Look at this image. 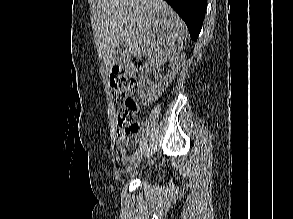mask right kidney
<instances>
[{"label": "right kidney", "mask_w": 293, "mask_h": 219, "mask_svg": "<svg viewBox=\"0 0 293 219\" xmlns=\"http://www.w3.org/2000/svg\"><path fill=\"white\" fill-rule=\"evenodd\" d=\"M166 62L169 63L171 70L165 76H160V81L155 84H151V87L147 86L148 73L159 69V67ZM184 62V55L175 53L172 55L151 59L145 63L141 70V76L138 82V94L142 102L151 103L158 99L162 92L168 87V85L174 80L178 71L180 70Z\"/></svg>", "instance_id": "ca27d5eb"}]
</instances>
